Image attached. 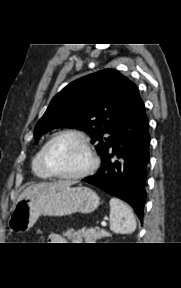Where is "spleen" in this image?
Segmentation results:
<instances>
[{"label":"spleen","instance_id":"1","mask_svg":"<svg viewBox=\"0 0 181 288\" xmlns=\"http://www.w3.org/2000/svg\"><path fill=\"white\" fill-rule=\"evenodd\" d=\"M136 229L132 210L117 198L110 199V230L117 234H130Z\"/></svg>","mask_w":181,"mask_h":288}]
</instances>
